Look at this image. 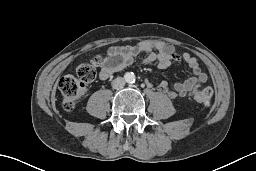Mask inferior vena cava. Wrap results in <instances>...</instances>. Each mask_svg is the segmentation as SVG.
I'll return each mask as SVG.
<instances>
[{"label": "inferior vena cava", "instance_id": "1", "mask_svg": "<svg viewBox=\"0 0 256 171\" xmlns=\"http://www.w3.org/2000/svg\"><path fill=\"white\" fill-rule=\"evenodd\" d=\"M125 86V80L122 77H117L112 81V87L114 89H122Z\"/></svg>", "mask_w": 256, "mask_h": 171}]
</instances>
